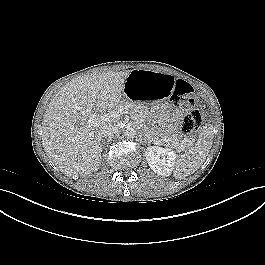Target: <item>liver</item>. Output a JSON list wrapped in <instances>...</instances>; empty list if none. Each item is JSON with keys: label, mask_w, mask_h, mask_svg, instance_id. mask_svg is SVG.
Here are the masks:
<instances>
[{"label": "liver", "mask_w": 265, "mask_h": 265, "mask_svg": "<svg viewBox=\"0 0 265 265\" xmlns=\"http://www.w3.org/2000/svg\"><path fill=\"white\" fill-rule=\"evenodd\" d=\"M130 70L86 75L68 82L49 103L42 121V145L56 167L67 176L88 175L101 165V129L87 119L98 109H115Z\"/></svg>", "instance_id": "obj_1"}]
</instances>
